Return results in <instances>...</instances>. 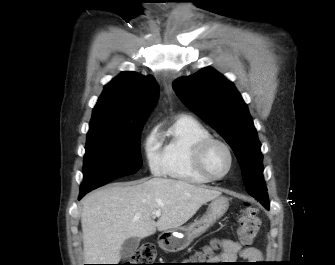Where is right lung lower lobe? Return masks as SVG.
<instances>
[{"label":"right lung lower lobe","mask_w":335,"mask_h":265,"mask_svg":"<svg viewBox=\"0 0 335 265\" xmlns=\"http://www.w3.org/2000/svg\"><path fill=\"white\" fill-rule=\"evenodd\" d=\"M87 192H80V195H79V200L86 194Z\"/></svg>","instance_id":"1"}]
</instances>
